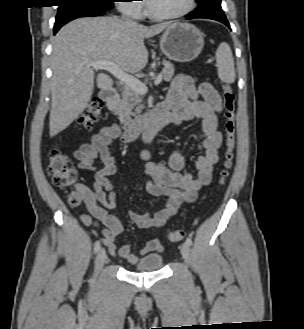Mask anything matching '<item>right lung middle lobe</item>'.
I'll return each mask as SVG.
<instances>
[{"label": "right lung middle lobe", "mask_w": 304, "mask_h": 329, "mask_svg": "<svg viewBox=\"0 0 304 329\" xmlns=\"http://www.w3.org/2000/svg\"><path fill=\"white\" fill-rule=\"evenodd\" d=\"M59 7L56 19L74 11L84 9L110 10L114 0H58Z\"/></svg>", "instance_id": "right-lung-middle-lobe-1"}]
</instances>
